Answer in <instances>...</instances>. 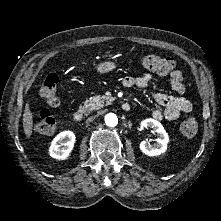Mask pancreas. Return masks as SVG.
<instances>
[{
    "label": "pancreas",
    "mask_w": 221,
    "mask_h": 221,
    "mask_svg": "<svg viewBox=\"0 0 221 221\" xmlns=\"http://www.w3.org/2000/svg\"><path fill=\"white\" fill-rule=\"evenodd\" d=\"M112 98L107 96H93L84 102V109L86 111H93L102 108L104 105H109Z\"/></svg>",
    "instance_id": "pancreas-1"
}]
</instances>
